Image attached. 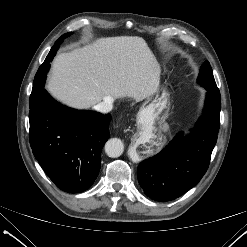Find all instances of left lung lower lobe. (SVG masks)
<instances>
[{
  "mask_svg": "<svg viewBox=\"0 0 247 247\" xmlns=\"http://www.w3.org/2000/svg\"><path fill=\"white\" fill-rule=\"evenodd\" d=\"M220 109V94L207 90L202 116L191 133H179L160 153L139 164L137 177L147 196L170 201L201 180L217 141Z\"/></svg>",
  "mask_w": 247,
  "mask_h": 247,
  "instance_id": "left-lung-lower-lobe-1",
  "label": "left lung lower lobe"
}]
</instances>
